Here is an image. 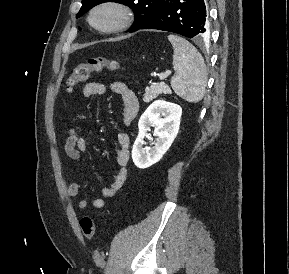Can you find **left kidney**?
<instances>
[{"mask_svg": "<svg viewBox=\"0 0 289 274\" xmlns=\"http://www.w3.org/2000/svg\"><path fill=\"white\" fill-rule=\"evenodd\" d=\"M181 115L182 108L179 105L164 100L153 102L142 114L138 123L139 133L132 149V159L138 168L152 166L167 152L179 131ZM151 126H155L154 136L157 139L154 146L145 151L144 138Z\"/></svg>", "mask_w": 289, "mask_h": 274, "instance_id": "1", "label": "left kidney"}]
</instances>
